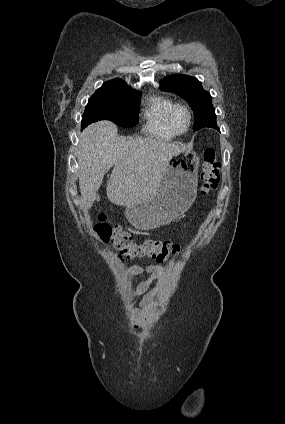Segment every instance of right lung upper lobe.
<instances>
[{"label": "right lung upper lobe", "mask_w": 285, "mask_h": 424, "mask_svg": "<svg viewBox=\"0 0 285 424\" xmlns=\"http://www.w3.org/2000/svg\"><path fill=\"white\" fill-rule=\"evenodd\" d=\"M130 88L127 84L120 78H115L110 81H107L103 84V86L96 91H104V90H116V89H124Z\"/></svg>", "instance_id": "obj_1"}]
</instances>
